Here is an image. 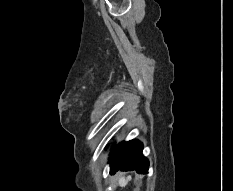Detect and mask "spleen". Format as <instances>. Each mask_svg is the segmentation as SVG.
Returning <instances> with one entry per match:
<instances>
[{
    "mask_svg": "<svg viewBox=\"0 0 233 191\" xmlns=\"http://www.w3.org/2000/svg\"><path fill=\"white\" fill-rule=\"evenodd\" d=\"M127 183H128V180H127L126 178H124V177L120 178V180H119V185H120L121 187L126 186Z\"/></svg>",
    "mask_w": 233,
    "mask_h": 191,
    "instance_id": "1",
    "label": "spleen"
}]
</instances>
